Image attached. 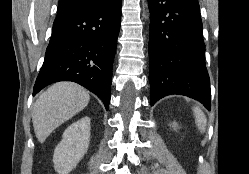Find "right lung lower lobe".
Returning a JSON list of instances; mask_svg holds the SVG:
<instances>
[{
	"instance_id": "98d812e1",
	"label": "right lung lower lobe",
	"mask_w": 249,
	"mask_h": 174,
	"mask_svg": "<svg viewBox=\"0 0 249 174\" xmlns=\"http://www.w3.org/2000/svg\"><path fill=\"white\" fill-rule=\"evenodd\" d=\"M121 3L116 0L54 21L33 95L51 83L73 81L95 93L108 109Z\"/></svg>"
}]
</instances>
